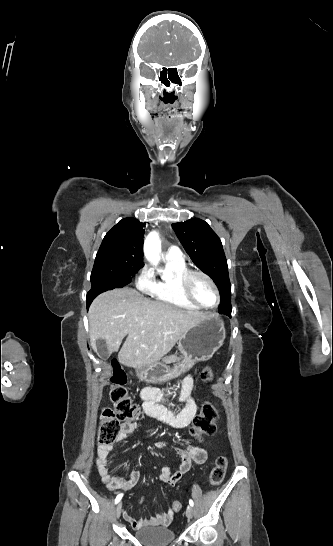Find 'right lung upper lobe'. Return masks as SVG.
<instances>
[{"instance_id": "obj_1", "label": "right lung upper lobe", "mask_w": 333, "mask_h": 546, "mask_svg": "<svg viewBox=\"0 0 333 546\" xmlns=\"http://www.w3.org/2000/svg\"><path fill=\"white\" fill-rule=\"evenodd\" d=\"M145 223L135 218H125L116 224L104 237L97 254H115L128 259L133 268L143 263V236Z\"/></svg>"}]
</instances>
